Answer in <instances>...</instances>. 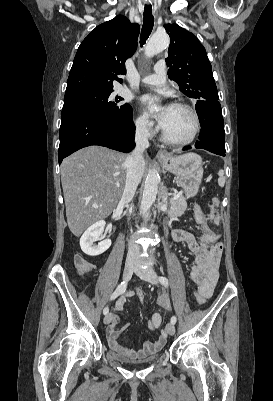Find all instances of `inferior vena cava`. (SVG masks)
Wrapping results in <instances>:
<instances>
[{"mask_svg":"<svg viewBox=\"0 0 273 401\" xmlns=\"http://www.w3.org/2000/svg\"><path fill=\"white\" fill-rule=\"evenodd\" d=\"M149 132L146 126H141V128H137L135 134V148L129 156L126 158L127 164V174H126V182L125 188L123 190L122 198L120 201V205H128L131 203L132 198L136 192V188L141 182V178L143 176L145 162L143 152L148 148ZM140 255V249L138 245H134V243H129L127 259H137Z\"/></svg>","mask_w":273,"mask_h":401,"instance_id":"1","label":"inferior vena cava"}]
</instances>
